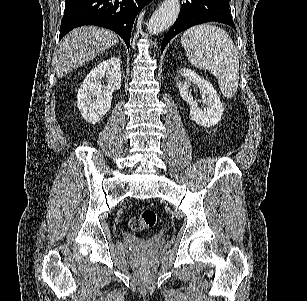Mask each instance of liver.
I'll use <instances>...</instances> for the list:
<instances>
[{
	"label": "liver",
	"mask_w": 307,
	"mask_h": 301,
	"mask_svg": "<svg viewBox=\"0 0 307 301\" xmlns=\"http://www.w3.org/2000/svg\"><path fill=\"white\" fill-rule=\"evenodd\" d=\"M117 42L116 32L100 26H79L70 30L62 38L52 60L57 78L66 76Z\"/></svg>",
	"instance_id": "obj_1"
}]
</instances>
